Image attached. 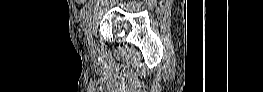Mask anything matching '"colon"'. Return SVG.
<instances>
[{"instance_id":"colon-1","label":"colon","mask_w":263,"mask_h":92,"mask_svg":"<svg viewBox=\"0 0 263 92\" xmlns=\"http://www.w3.org/2000/svg\"><path fill=\"white\" fill-rule=\"evenodd\" d=\"M82 3H88V2H92V1H87V0H83V1H80Z\"/></svg>"}]
</instances>
